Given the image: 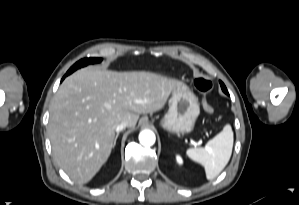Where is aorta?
Returning <instances> with one entry per match:
<instances>
[{
	"instance_id": "762f6f07",
	"label": "aorta",
	"mask_w": 299,
	"mask_h": 205,
	"mask_svg": "<svg viewBox=\"0 0 299 205\" xmlns=\"http://www.w3.org/2000/svg\"><path fill=\"white\" fill-rule=\"evenodd\" d=\"M155 140V134L151 130H143L139 134V141L144 146H152Z\"/></svg>"
}]
</instances>
